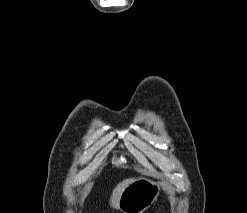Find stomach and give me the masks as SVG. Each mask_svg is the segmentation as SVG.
Listing matches in <instances>:
<instances>
[{
    "instance_id": "obj_1",
    "label": "stomach",
    "mask_w": 247,
    "mask_h": 213,
    "mask_svg": "<svg viewBox=\"0 0 247 213\" xmlns=\"http://www.w3.org/2000/svg\"><path fill=\"white\" fill-rule=\"evenodd\" d=\"M160 185L149 178H138L122 192L118 209L122 213H144L160 195Z\"/></svg>"
}]
</instances>
